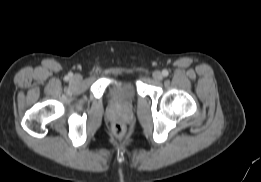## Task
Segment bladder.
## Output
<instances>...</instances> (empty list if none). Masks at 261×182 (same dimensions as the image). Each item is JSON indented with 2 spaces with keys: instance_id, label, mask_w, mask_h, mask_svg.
<instances>
[{
  "instance_id": "bladder-1",
  "label": "bladder",
  "mask_w": 261,
  "mask_h": 182,
  "mask_svg": "<svg viewBox=\"0 0 261 182\" xmlns=\"http://www.w3.org/2000/svg\"><path fill=\"white\" fill-rule=\"evenodd\" d=\"M136 86L131 81H120L112 85L110 94L115 104L130 106L136 99Z\"/></svg>"
}]
</instances>
